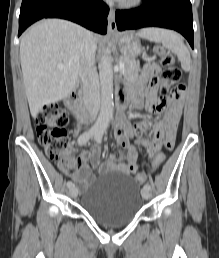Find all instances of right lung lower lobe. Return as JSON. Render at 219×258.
Here are the masks:
<instances>
[{
    "label": "right lung lower lobe",
    "instance_id": "1",
    "mask_svg": "<svg viewBox=\"0 0 219 258\" xmlns=\"http://www.w3.org/2000/svg\"><path fill=\"white\" fill-rule=\"evenodd\" d=\"M94 0H22L19 16L18 36L32 23L42 18H63L76 22L94 32H107L109 7L98 0L95 10Z\"/></svg>",
    "mask_w": 219,
    "mask_h": 258
}]
</instances>
